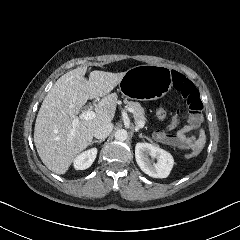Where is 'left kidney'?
Listing matches in <instances>:
<instances>
[{
    "label": "left kidney",
    "mask_w": 240,
    "mask_h": 240,
    "mask_svg": "<svg viewBox=\"0 0 240 240\" xmlns=\"http://www.w3.org/2000/svg\"><path fill=\"white\" fill-rule=\"evenodd\" d=\"M147 154L157 161L152 163ZM135 157L140 169L154 178H168L175 165L170 152L150 143L138 142L135 146Z\"/></svg>",
    "instance_id": "1"
}]
</instances>
